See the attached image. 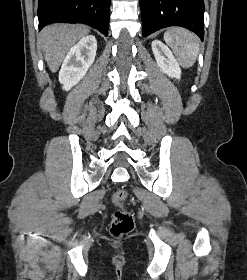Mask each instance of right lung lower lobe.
I'll list each match as a JSON object with an SVG mask.
<instances>
[{
	"label": "right lung lower lobe",
	"instance_id": "right-lung-lower-lobe-1",
	"mask_svg": "<svg viewBox=\"0 0 247 280\" xmlns=\"http://www.w3.org/2000/svg\"><path fill=\"white\" fill-rule=\"evenodd\" d=\"M111 0H39V30L54 22L85 23L108 35Z\"/></svg>",
	"mask_w": 247,
	"mask_h": 280
}]
</instances>
